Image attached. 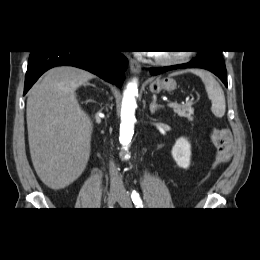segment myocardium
Here are the masks:
<instances>
[{
  "label": "myocardium",
  "instance_id": "obj_1",
  "mask_svg": "<svg viewBox=\"0 0 260 260\" xmlns=\"http://www.w3.org/2000/svg\"><path fill=\"white\" fill-rule=\"evenodd\" d=\"M185 58H186L185 53L167 55V56H160L157 54L153 57V60L158 65L169 66V65L177 64L183 61Z\"/></svg>",
  "mask_w": 260,
  "mask_h": 260
}]
</instances>
